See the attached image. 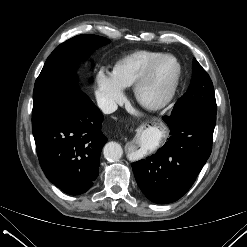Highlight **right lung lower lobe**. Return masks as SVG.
<instances>
[{"label": "right lung lower lobe", "mask_w": 247, "mask_h": 247, "mask_svg": "<svg viewBox=\"0 0 247 247\" xmlns=\"http://www.w3.org/2000/svg\"><path fill=\"white\" fill-rule=\"evenodd\" d=\"M103 115L80 89H72L42 122L33 126L40 165L46 177L63 192L89 190L99 173L107 138L101 132Z\"/></svg>", "instance_id": "obj_1"}]
</instances>
